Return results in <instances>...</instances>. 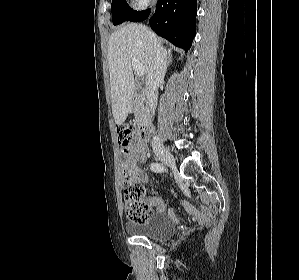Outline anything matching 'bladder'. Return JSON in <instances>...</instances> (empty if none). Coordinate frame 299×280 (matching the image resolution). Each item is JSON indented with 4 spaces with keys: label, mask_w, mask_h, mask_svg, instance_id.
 Returning <instances> with one entry per match:
<instances>
[{
    "label": "bladder",
    "mask_w": 299,
    "mask_h": 280,
    "mask_svg": "<svg viewBox=\"0 0 299 280\" xmlns=\"http://www.w3.org/2000/svg\"><path fill=\"white\" fill-rule=\"evenodd\" d=\"M125 228L132 236L160 240L172 233L174 223L172 219L164 213H157L150 216L144 222L128 223Z\"/></svg>",
    "instance_id": "31cf9c89"
}]
</instances>
